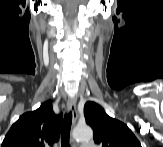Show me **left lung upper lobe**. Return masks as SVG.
Returning <instances> with one entry per match:
<instances>
[{
    "mask_svg": "<svg viewBox=\"0 0 163 147\" xmlns=\"http://www.w3.org/2000/svg\"><path fill=\"white\" fill-rule=\"evenodd\" d=\"M84 115L94 131V141L100 147H141L128 126L108 116L97 103L88 101L84 106Z\"/></svg>",
    "mask_w": 163,
    "mask_h": 147,
    "instance_id": "obj_1",
    "label": "left lung upper lobe"
}]
</instances>
